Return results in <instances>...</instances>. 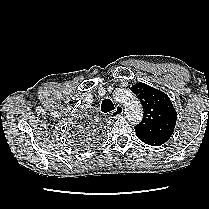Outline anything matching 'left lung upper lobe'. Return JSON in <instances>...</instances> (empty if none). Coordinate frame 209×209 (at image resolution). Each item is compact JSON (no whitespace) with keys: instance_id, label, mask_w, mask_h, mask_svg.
Returning <instances> with one entry per match:
<instances>
[{"instance_id":"1","label":"left lung upper lobe","mask_w":209,"mask_h":209,"mask_svg":"<svg viewBox=\"0 0 209 209\" xmlns=\"http://www.w3.org/2000/svg\"><path fill=\"white\" fill-rule=\"evenodd\" d=\"M130 89L138 96L144 109L142 121L135 126L136 135L167 141L174 131L177 119L169 97L145 83H136Z\"/></svg>"}]
</instances>
